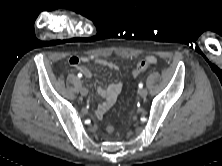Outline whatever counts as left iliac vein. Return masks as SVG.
I'll return each instance as SVG.
<instances>
[{"label":"left iliac vein","instance_id":"obj_1","mask_svg":"<svg viewBox=\"0 0 222 166\" xmlns=\"http://www.w3.org/2000/svg\"><path fill=\"white\" fill-rule=\"evenodd\" d=\"M148 91L145 88H142L139 90V95L141 97H146L147 96Z\"/></svg>","mask_w":222,"mask_h":166}]
</instances>
